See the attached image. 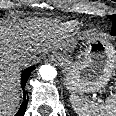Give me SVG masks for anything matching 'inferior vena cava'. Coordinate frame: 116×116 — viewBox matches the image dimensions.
Here are the masks:
<instances>
[{
  "label": "inferior vena cava",
  "instance_id": "1",
  "mask_svg": "<svg viewBox=\"0 0 116 116\" xmlns=\"http://www.w3.org/2000/svg\"><path fill=\"white\" fill-rule=\"evenodd\" d=\"M31 60H32V57L30 55L23 54L19 58V64L24 65L25 63H27V62H29Z\"/></svg>",
  "mask_w": 116,
  "mask_h": 116
}]
</instances>
